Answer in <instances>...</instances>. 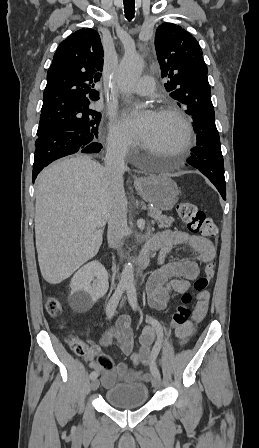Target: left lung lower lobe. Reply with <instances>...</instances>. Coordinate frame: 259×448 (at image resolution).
Returning <instances> with one entry per match:
<instances>
[{"label": "left lung lower lobe", "instance_id": "0a47b994", "mask_svg": "<svg viewBox=\"0 0 259 448\" xmlns=\"http://www.w3.org/2000/svg\"><path fill=\"white\" fill-rule=\"evenodd\" d=\"M187 163L202 172L226 200L224 162L217 129L201 131L197 134V146L191 149Z\"/></svg>", "mask_w": 259, "mask_h": 448}]
</instances>
